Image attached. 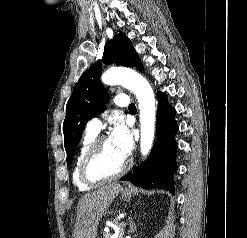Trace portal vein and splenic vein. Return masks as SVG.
<instances>
[{
    "label": "portal vein and splenic vein",
    "instance_id": "obj_1",
    "mask_svg": "<svg viewBox=\"0 0 247 238\" xmlns=\"http://www.w3.org/2000/svg\"><path fill=\"white\" fill-rule=\"evenodd\" d=\"M120 225L125 226L126 223H125V222H121ZM117 233H118V229H116V234H117ZM115 237H116V236H114L113 238H115Z\"/></svg>",
    "mask_w": 247,
    "mask_h": 238
}]
</instances>
